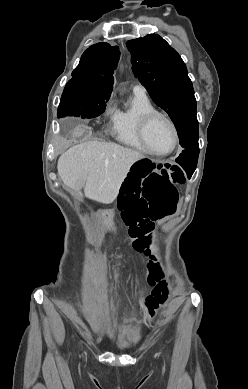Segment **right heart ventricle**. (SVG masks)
<instances>
[{
  "instance_id": "1",
  "label": "right heart ventricle",
  "mask_w": 248,
  "mask_h": 389,
  "mask_svg": "<svg viewBox=\"0 0 248 389\" xmlns=\"http://www.w3.org/2000/svg\"><path fill=\"white\" fill-rule=\"evenodd\" d=\"M155 110L147 96L135 94L130 105L115 108L112 114V133L117 141L133 149L146 152L138 136V126L141 117Z\"/></svg>"
}]
</instances>
